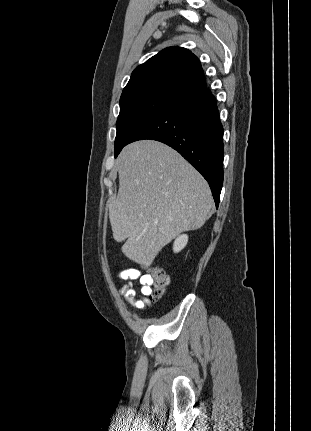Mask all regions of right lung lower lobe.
Returning <instances> with one entry per match:
<instances>
[{
	"label": "right lung lower lobe",
	"instance_id": "1",
	"mask_svg": "<svg viewBox=\"0 0 311 431\" xmlns=\"http://www.w3.org/2000/svg\"><path fill=\"white\" fill-rule=\"evenodd\" d=\"M142 139L157 140L178 151L208 181L218 207L223 183V127L216 100L207 87L165 106L140 125L127 144Z\"/></svg>",
	"mask_w": 311,
	"mask_h": 431
}]
</instances>
